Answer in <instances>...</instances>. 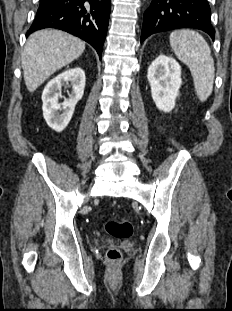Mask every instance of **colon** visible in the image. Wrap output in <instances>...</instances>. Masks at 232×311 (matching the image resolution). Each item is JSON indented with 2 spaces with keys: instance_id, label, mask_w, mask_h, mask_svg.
<instances>
[{
  "instance_id": "colon-1",
  "label": "colon",
  "mask_w": 232,
  "mask_h": 311,
  "mask_svg": "<svg viewBox=\"0 0 232 311\" xmlns=\"http://www.w3.org/2000/svg\"><path fill=\"white\" fill-rule=\"evenodd\" d=\"M105 229L110 236L117 239L129 238L133 233V226L126 219L108 220L105 224ZM105 256L111 264L119 263L122 260V252L118 248L108 249Z\"/></svg>"
}]
</instances>
